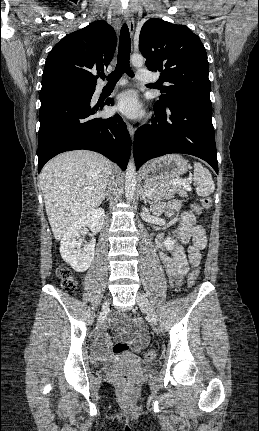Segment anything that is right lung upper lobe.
Masks as SVG:
<instances>
[{"mask_svg":"<svg viewBox=\"0 0 259 431\" xmlns=\"http://www.w3.org/2000/svg\"><path fill=\"white\" fill-rule=\"evenodd\" d=\"M117 38L105 21H95L66 35L50 51L42 75V89L54 84H69L95 89L93 71H104L111 62Z\"/></svg>","mask_w":259,"mask_h":431,"instance_id":"right-lung-upper-lobe-1","label":"right lung upper lobe"}]
</instances>
